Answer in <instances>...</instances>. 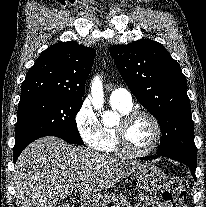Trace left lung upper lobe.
<instances>
[{
  "label": "left lung upper lobe",
  "mask_w": 206,
  "mask_h": 207,
  "mask_svg": "<svg viewBox=\"0 0 206 207\" xmlns=\"http://www.w3.org/2000/svg\"><path fill=\"white\" fill-rule=\"evenodd\" d=\"M109 51L127 86L160 124L157 155L197 157L186 77L177 61L150 39L114 45Z\"/></svg>",
  "instance_id": "5c2ea615"
}]
</instances>
